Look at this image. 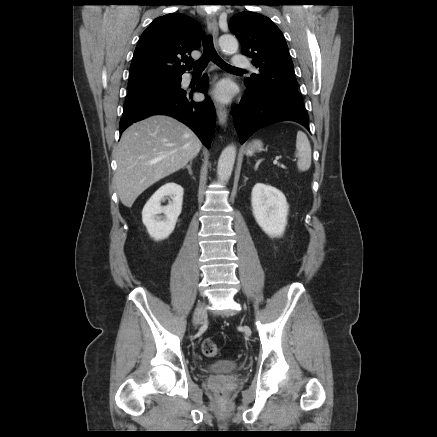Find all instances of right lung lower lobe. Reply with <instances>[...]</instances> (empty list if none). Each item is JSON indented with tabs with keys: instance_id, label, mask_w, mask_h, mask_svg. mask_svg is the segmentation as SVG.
<instances>
[{
	"instance_id": "obj_1",
	"label": "right lung lower lobe",
	"mask_w": 437,
	"mask_h": 437,
	"mask_svg": "<svg viewBox=\"0 0 437 437\" xmlns=\"http://www.w3.org/2000/svg\"><path fill=\"white\" fill-rule=\"evenodd\" d=\"M181 80L168 90L128 99L123 105L120 134L133 122L153 114H164L185 123L210 148L216 121L214 105L207 96L204 102H195L193 90L181 89ZM207 87L208 77L204 75L195 90L206 93Z\"/></svg>"
}]
</instances>
